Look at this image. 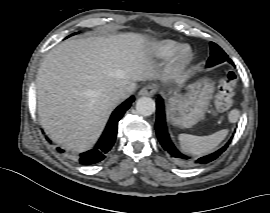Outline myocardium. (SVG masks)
<instances>
[{
  "instance_id": "1",
  "label": "myocardium",
  "mask_w": 270,
  "mask_h": 213,
  "mask_svg": "<svg viewBox=\"0 0 270 213\" xmlns=\"http://www.w3.org/2000/svg\"><path fill=\"white\" fill-rule=\"evenodd\" d=\"M192 57L193 50L190 45H179L171 54L170 67L173 70H180L191 61Z\"/></svg>"
}]
</instances>
